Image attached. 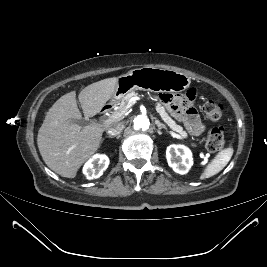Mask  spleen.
Segmentation results:
<instances>
[{"label":"spleen","instance_id":"spleen-1","mask_svg":"<svg viewBox=\"0 0 267 267\" xmlns=\"http://www.w3.org/2000/svg\"><path fill=\"white\" fill-rule=\"evenodd\" d=\"M233 152L234 150L232 147L221 150L215 156V158L206 166V168L204 169L203 173L200 176V179L203 180L206 178H210L219 173L222 169H224V167L230 161Z\"/></svg>","mask_w":267,"mask_h":267}]
</instances>
